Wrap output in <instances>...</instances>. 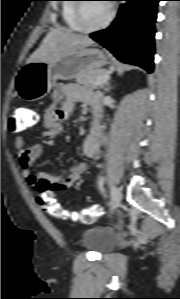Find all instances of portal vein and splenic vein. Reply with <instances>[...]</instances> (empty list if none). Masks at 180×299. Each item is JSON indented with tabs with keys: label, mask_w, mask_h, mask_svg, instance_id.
<instances>
[{
	"label": "portal vein and splenic vein",
	"mask_w": 180,
	"mask_h": 299,
	"mask_svg": "<svg viewBox=\"0 0 180 299\" xmlns=\"http://www.w3.org/2000/svg\"><path fill=\"white\" fill-rule=\"evenodd\" d=\"M108 79H109V73H107V74H105V75L99 77V78L96 80L95 85H96V86L102 85V84L106 83Z\"/></svg>",
	"instance_id": "portal-vein-and-splenic-vein-1"
}]
</instances>
